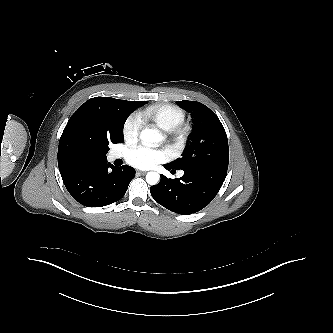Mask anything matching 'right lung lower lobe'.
Instances as JSON below:
<instances>
[{
	"label": "right lung lower lobe",
	"instance_id": "1",
	"mask_svg": "<svg viewBox=\"0 0 333 333\" xmlns=\"http://www.w3.org/2000/svg\"><path fill=\"white\" fill-rule=\"evenodd\" d=\"M61 176L76 201L87 207H103L125 195L135 170L127 165L114 167L106 158H84L61 172Z\"/></svg>",
	"mask_w": 333,
	"mask_h": 333
}]
</instances>
